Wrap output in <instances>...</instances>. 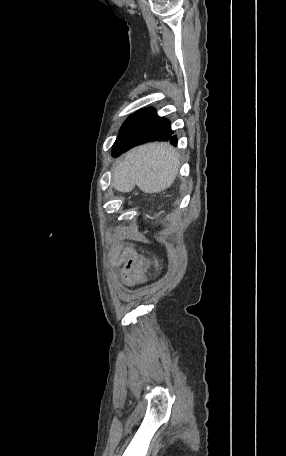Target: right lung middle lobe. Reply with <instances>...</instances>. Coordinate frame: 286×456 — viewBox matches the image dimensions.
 <instances>
[{
    "mask_svg": "<svg viewBox=\"0 0 286 456\" xmlns=\"http://www.w3.org/2000/svg\"><path fill=\"white\" fill-rule=\"evenodd\" d=\"M123 130H124V127L122 126L121 131H120V134H119L118 138L116 139V141H115V143H114V145H113V149H114L115 147H117V146L121 143V141H122V139H123V137H122V136H123Z\"/></svg>",
    "mask_w": 286,
    "mask_h": 456,
    "instance_id": "right-lung-middle-lobe-1",
    "label": "right lung middle lobe"
}]
</instances>
